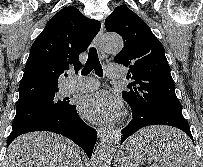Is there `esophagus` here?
<instances>
[{"mask_svg": "<svg viewBox=\"0 0 203 167\" xmlns=\"http://www.w3.org/2000/svg\"><path fill=\"white\" fill-rule=\"evenodd\" d=\"M103 32H104V25L103 23H101V28H100V31L98 32L97 36L95 37V45L96 47L98 48V51H99V55L102 59L105 58V52L102 48V37H103ZM107 133V129L106 128H98L97 129V134H98V137L101 138L103 136H105Z\"/></svg>", "mask_w": 203, "mask_h": 167, "instance_id": "1", "label": "esophagus"}]
</instances>
